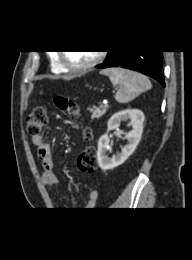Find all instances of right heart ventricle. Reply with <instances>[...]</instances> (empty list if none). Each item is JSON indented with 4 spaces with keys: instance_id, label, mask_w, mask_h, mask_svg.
Masks as SVG:
<instances>
[{
    "instance_id": "obj_1",
    "label": "right heart ventricle",
    "mask_w": 192,
    "mask_h": 260,
    "mask_svg": "<svg viewBox=\"0 0 192 260\" xmlns=\"http://www.w3.org/2000/svg\"><path fill=\"white\" fill-rule=\"evenodd\" d=\"M50 66L54 73H65L66 69L61 65L57 54L50 56Z\"/></svg>"
}]
</instances>
